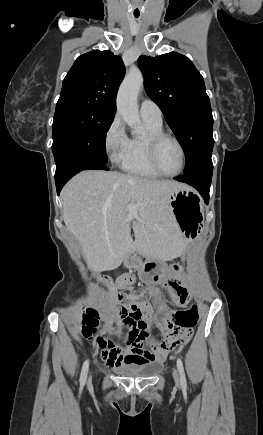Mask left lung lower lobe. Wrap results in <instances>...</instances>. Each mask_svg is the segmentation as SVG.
I'll list each match as a JSON object with an SVG mask.
<instances>
[{"label": "left lung lower lobe", "mask_w": 263, "mask_h": 435, "mask_svg": "<svg viewBox=\"0 0 263 435\" xmlns=\"http://www.w3.org/2000/svg\"><path fill=\"white\" fill-rule=\"evenodd\" d=\"M212 173L213 164L210 157L198 162L188 171H185L183 176H177L175 179L180 182H185L197 189L207 204L209 200Z\"/></svg>", "instance_id": "left-lung-lower-lobe-1"}]
</instances>
